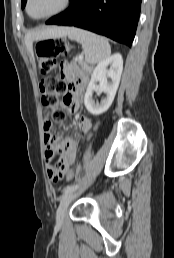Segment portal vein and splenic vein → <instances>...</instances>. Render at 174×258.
<instances>
[{"label": "portal vein and splenic vein", "mask_w": 174, "mask_h": 258, "mask_svg": "<svg viewBox=\"0 0 174 258\" xmlns=\"http://www.w3.org/2000/svg\"><path fill=\"white\" fill-rule=\"evenodd\" d=\"M79 59H83V56L82 55H79V57H78Z\"/></svg>", "instance_id": "18ae733b"}]
</instances>
